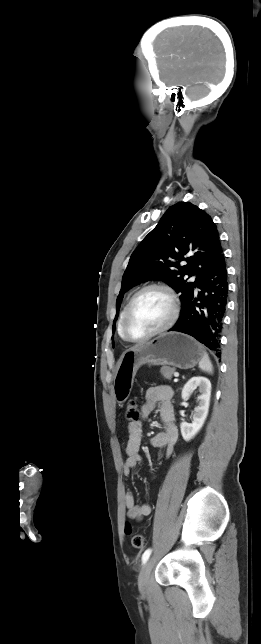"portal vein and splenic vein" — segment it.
<instances>
[{"label":"portal vein and splenic vein","mask_w":261,"mask_h":644,"mask_svg":"<svg viewBox=\"0 0 261 644\" xmlns=\"http://www.w3.org/2000/svg\"><path fill=\"white\" fill-rule=\"evenodd\" d=\"M174 376H175V377H179V373L175 372V373H174Z\"/></svg>","instance_id":"1"}]
</instances>
